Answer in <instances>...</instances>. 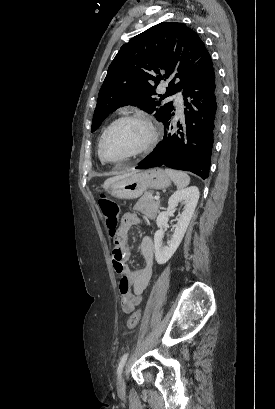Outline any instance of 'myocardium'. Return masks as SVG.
<instances>
[{"label":"myocardium","mask_w":275,"mask_h":409,"mask_svg":"<svg viewBox=\"0 0 275 409\" xmlns=\"http://www.w3.org/2000/svg\"><path fill=\"white\" fill-rule=\"evenodd\" d=\"M122 122H135L138 123L140 125L143 126L144 130H145V137L142 140V142L132 151H130L129 153L123 155L122 157H134L137 156L145 151H147L155 142L156 140V136H157V132H156V128L153 125V123L145 116L142 115H124L121 116L119 118H117L116 120H114L105 130V132L103 133L100 143H99V156L100 157H105L103 154V145L104 142L107 138V136L109 135L110 131L119 123Z\"/></svg>","instance_id":"myocardium-1"}]
</instances>
